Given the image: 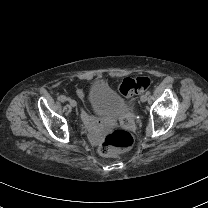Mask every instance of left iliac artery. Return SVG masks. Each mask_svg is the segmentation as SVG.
I'll list each match as a JSON object with an SVG mask.
<instances>
[{"label":"left iliac artery","mask_w":208,"mask_h":208,"mask_svg":"<svg viewBox=\"0 0 208 208\" xmlns=\"http://www.w3.org/2000/svg\"><path fill=\"white\" fill-rule=\"evenodd\" d=\"M150 94H151V92H150V91H147V92H146V95H148V96H149Z\"/></svg>","instance_id":"left-iliac-artery-1"}]
</instances>
